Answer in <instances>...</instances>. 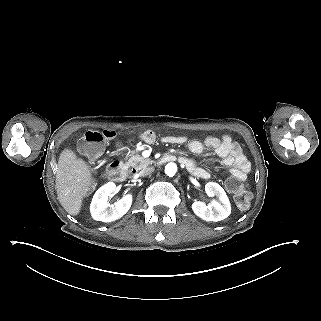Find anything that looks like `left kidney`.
Instances as JSON below:
<instances>
[{
  "label": "left kidney",
  "mask_w": 321,
  "mask_h": 321,
  "mask_svg": "<svg viewBox=\"0 0 321 321\" xmlns=\"http://www.w3.org/2000/svg\"><path fill=\"white\" fill-rule=\"evenodd\" d=\"M205 192L209 197L216 195L219 201L212 200L209 206L201 201L194 202L191 207L194 214L205 221L217 222L226 219L231 214V204L224 189L218 183L208 182Z\"/></svg>",
  "instance_id": "1"
}]
</instances>
